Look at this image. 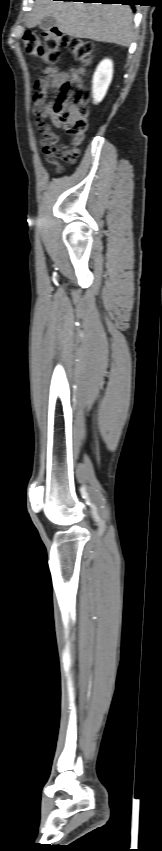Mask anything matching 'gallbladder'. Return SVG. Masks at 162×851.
<instances>
[{
	"mask_svg": "<svg viewBox=\"0 0 162 851\" xmlns=\"http://www.w3.org/2000/svg\"><path fill=\"white\" fill-rule=\"evenodd\" d=\"M56 25H57V22H56L55 18L52 17V16H48V17L43 18L39 23V27L41 29H44V30H49V29L55 27Z\"/></svg>",
	"mask_w": 162,
	"mask_h": 851,
	"instance_id": "gallbladder-1",
	"label": "gallbladder"
}]
</instances>
